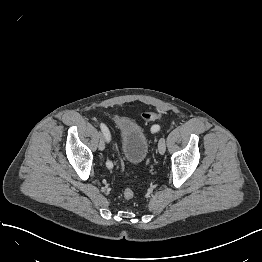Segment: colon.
Here are the masks:
<instances>
[{"label": "colon", "mask_w": 262, "mask_h": 262, "mask_svg": "<svg viewBox=\"0 0 262 262\" xmlns=\"http://www.w3.org/2000/svg\"><path fill=\"white\" fill-rule=\"evenodd\" d=\"M157 117H158V115L155 112H147V113L143 114V119L146 122H151V121L155 120ZM123 196H124L125 199L131 200V199L134 198V191L131 188H126L124 193H123Z\"/></svg>", "instance_id": "5ec220e1"}]
</instances>
